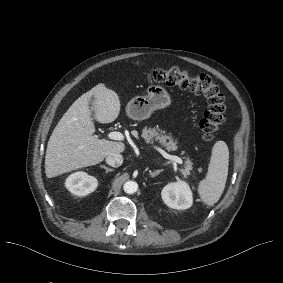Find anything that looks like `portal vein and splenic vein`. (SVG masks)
<instances>
[{
	"instance_id": "18ae733b",
	"label": "portal vein and splenic vein",
	"mask_w": 283,
	"mask_h": 283,
	"mask_svg": "<svg viewBox=\"0 0 283 283\" xmlns=\"http://www.w3.org/2000/svg\"><path fill=\"white\" fill-rule=\"evenodd\" d=\"M110 138L113 139V140H117V141H124L125 140V136L121 132L110 133ZM150 146L154 150H156L158 153H160L165 159H168L170 161H175L177 163H181V159L178 156L171 155V154L167 153L163 148L159 147L158 145L151 143Z\"/></svg>"
}]
</instances>
